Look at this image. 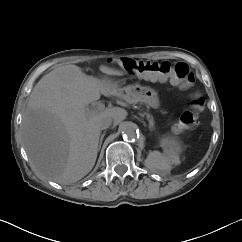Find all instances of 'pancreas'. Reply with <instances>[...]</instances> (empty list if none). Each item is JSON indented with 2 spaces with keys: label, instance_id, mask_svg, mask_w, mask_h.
Instances as JSON below:
<instances>
[{
  "label": "pancreas",
  "instance_id": "obj_1",
  "mask_svg": "<svg viewBox=\"0 0 242 242\" xmlns=\"http://www.w3.org/2000/svg\"><path fill=\"white\" fill-rule=\"evenodd\" d=\"M141 115L143 116L144 114H141ZM147 119L149 120V123L152 126L153 125V118L149 114H147Z\"/></svg>",
  "mask_w": 242,
  "mask_h": 242
}]
</instances>
